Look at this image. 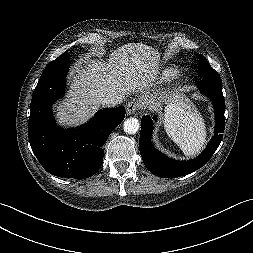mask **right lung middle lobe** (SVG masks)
<instances>
[{
	"instance_id": "right-lung-middle-lobe-1",
	"label": "right lung middle lobe",
	"mask_w": 253,
	"mask_h": 253,
	"mask_svg": "<svg viewBox=\"0 0 253 253\" xmlns=\"http://www.w3.org/2000/svg\"><path fill=\"white\" fill-rule=\"evenodd\" d=\"M66 53H67V51H66V52H64L62 55H60L57 59H59V58L63 57Z\"/></svg>"
}]
</instances>
